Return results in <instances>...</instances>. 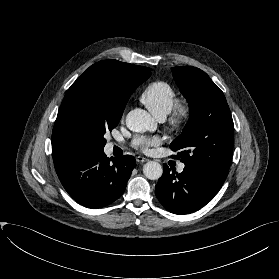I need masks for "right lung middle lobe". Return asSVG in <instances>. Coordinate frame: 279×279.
<instances>
[{
    "label": "right lung middle lobe",
    "mask_w": 279,
    "mask_h": 279,
    "mask_svg": "<svg viewBox=\"0 0 279 279\" xmlns=\"http://www.w3.org/2000/svg\"><path fill=\"white\" fill-rule=\"evenodd\" d=\"M84 81L72 84L60 106L52 132V152L62 160L102 152L104 135L119 123L122 112L99 105L84 91Z\"/></svg>",
    "instance_id": "dd1d6c3e"
}]
</instances>
